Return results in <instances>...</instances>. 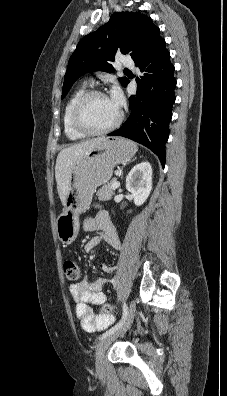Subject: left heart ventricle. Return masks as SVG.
<instances>
[{
	"mask_svg": "<svg viewBox=\"0 0 227 396\" xmlns=\"http://www.w3.org/2000/svg\"><path fill=\"white\" fill-rule=\"evenodd\" d=\"M117 108L107 96H95L85 107L84 118L88 125L100 129L112 124L118 117Z\"/></svg>",
	"mask_w": 227,
	"mask_h": 396,
	"instance_id": "1",
	"label": "left heart ventricle"
}]
</instances>
